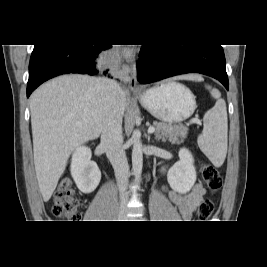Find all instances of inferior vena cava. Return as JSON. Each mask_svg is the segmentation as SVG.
<instances>
[{"instance_id":"obj_1","label":"inferior vena cava","mask_w":267,"mask_h":267,"mask_svg":"<svg viewBox=\"0 0 267 267\" xmlns=\"http://www.w3.org/2000/svg\"><path fill=\"white\" fill-rule=\"evenodd\" d=\"M102 85L106 94V110L101 132V146L104 148L114 168L120 193L121 208H125L129 166L125 151L122 148V114L117 101L120 86L116 81L109 79H103Z\"/></svg>"}]
</instances>
